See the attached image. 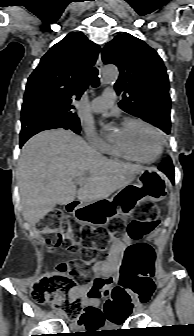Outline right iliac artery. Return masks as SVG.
I'll return each instance as SVG.
<instances>
[{"label":"right iliac artery","mask_w":194,"mask_h":336,"mask_svg":"<svg viewBox=\"0 0 194 336\" xmlns=\"http://www.w3.org/2000/svg\"><path fill=\"white\" fill-rule=\"evenodd\" d=\"M57 313H61V310L59 309V310L57 311Z\"/></svg>","instance_id":"1"}]
</instances>
